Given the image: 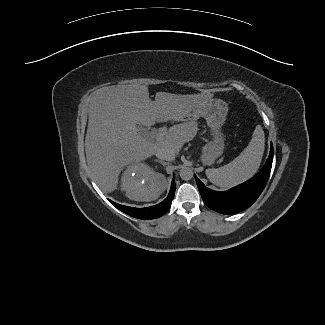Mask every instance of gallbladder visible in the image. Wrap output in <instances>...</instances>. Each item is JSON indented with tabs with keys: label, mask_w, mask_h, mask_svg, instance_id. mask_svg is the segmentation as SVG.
Here are the masks:
<instances>
[{
	"label": "gallbladder",
	"mask_w": 325,
	"mask_h": 325,
	"mask_svg": "<svg viewBox=\"0 0 325 325\" xmlns=\"http://www.w3.org/2000/svg\"><path fill=\"white\" fill-rule=\"evenodd\" d=\"M138 131H139V133L142 135V136H147V134H148V130H147V128H145V127H139L138 128Z\"/></svg>",
	"instance_id": "1"
}]
</instances>
